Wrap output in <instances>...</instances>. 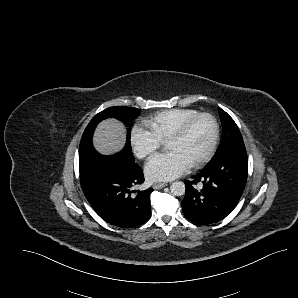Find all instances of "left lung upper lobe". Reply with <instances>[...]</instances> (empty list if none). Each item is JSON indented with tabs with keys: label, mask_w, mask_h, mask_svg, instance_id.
Wrapping results in <instances>:
<instances>
[{
	"label": "left lung upper lobe",
	"mask_w": 298,
	"mask_h": 298,
	"mask_svg": "<svg viewBox=\"0 0 298 298\" xmlns=\"http://www.w3.org/2000/svg\"><path fill=\"white\" fill-rule=\"evenodd\" d=\"M218 110L223 126V133L220 145L212 160L219 158L232 149L244 147L242 135L234 120L221 108Z\"/></svg>",
	"instance_id": "obj_1"
}]
</instances>
